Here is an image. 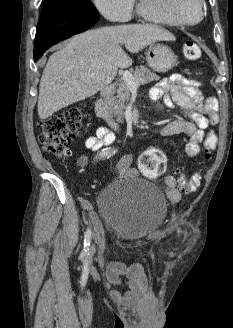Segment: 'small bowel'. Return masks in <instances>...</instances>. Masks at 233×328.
Returning <instances> with one entry per match:
<instances>
[{
  "label": "small bowel",
  "instance_id": "1",
  "mask_svg": "<svg viewBox=\"0 0 233 328\" xmlns=\"http://www.w3.org/2000/svg\"><path fill=\"white\" fill-rule=\"evenodd\" d=\"M201 83L181 74H173L157 83L150 91L152 100L162 99L169 108L177 107L185 118H178L163 127L161 135L165 137L183 134L182 145L186 155L194 158L200 153V145L205 140V130L219 122L218 102L213 97H204L200 90ZM115 140V135L108 128L98 127L94 135L88 137L85 145L99 154L108 150ZM118 174L121 178H135L139 171L133 167V156L127 154L118 163ZM167 198L177 203L181 194L177 188V179L167 175L164 179ZM89 211L90 219L96 228L98 221L87 201L82 202ZM126 291L119 289L123 283ZM106 286L112 298L120 303L129 304L142 297L148 286L147 276L141 264L126 265L114 262L106 270Z\"/></svg>",
  "mask_w": 233,
  "mask_h": 328
}]
</instances>
